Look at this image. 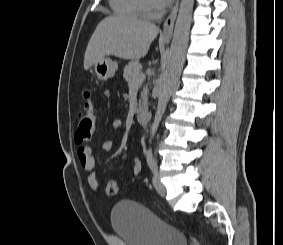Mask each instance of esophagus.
<instances>
[{"instance_id":"esophagus-1","label":"esophagus","mask_w":283,"mask_h":245,"mask_svg":"<svg viewBox=\"0 0 283 245\" xmlns=\"http://www.w3.org/2000/svg\"><path fill=\"white\" fill-rule=\"evenodd\" d=\"M178 6H179V1H177L171 13L169 14V16L166 18L164 22L163 31L160 36V38L164 41H170V39L172 38L174 22H175L177 12H178Z\"/></svg>"}]
</instances>
